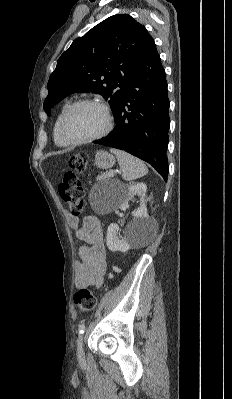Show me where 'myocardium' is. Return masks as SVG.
<instances>
[{
	"label": "myocardium",
	"instance_id": "myocardium-1",
	"mask_svg": "<svg viewBox=\"0 0 232 399\" xmlns=\"http://www.w3.org/2000/svg\"><path fill=\"white\" fill-rule=\"evenodd\" d=\"M80 105H97L100 106L106 114V118H107V122H106V126L105 128L98 134L88 137V138H84V139H76L73 138L68 130H67V118L70 115V113L73 111V109L77 106ZM114 126V117H113V113L110 109V107L105 104L104 102L100 101V100H96V99H83V100H79L76 101L72 104H70L68 106V108L65 110L62 118H61V122H60V129H61V133L64 136V138L69 141L71 144L73 145H79V144H86V143H92L95 141H99L103 138H105L113 129Z\"/></svg>",
	"mask_w": 232,
	"mask_h": 399
}]
</instances>
